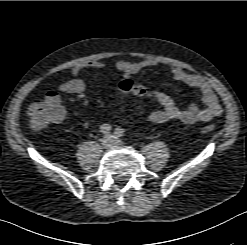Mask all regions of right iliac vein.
<instances>
[{
    "label": "right iliac vein",
    "mask_w": 247,
    "mask_h": 245,
    "mask_svg": "<svg viewBox=\"0 0 247 245\" xmlns=\"http://www.w3.org/2000/svg\"><path fill=\"white\" fill-rule=\"evenodd\" d=\"M101 144L104 148H110L114 144V138L111 135H106L101 139Z\"/></svg>",
    "instance_id": "right-iliac-vein-1"
}]
</instances>
